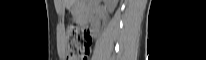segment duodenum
I'll return each instance as SVG.
<instances>
[{
	"instance_id": "duodenum-1",
	"label": "duodenum",
	"mask_w": 206,
	"mask_h": 60,
	"mask_svg": "<svg viewBox=\"0 0 206 60\" xmlns=\"http://www.w3.org/2000/svg\"><path fill=\"white\" fill-rule=\"evenodd\" d=\"M89 23H90L89 19H84L83 23H81V28H88Z\"/></svg>"
}]
</instances>
